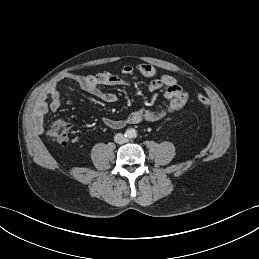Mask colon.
Wrapping results in <instances>:
<instances>
[{
    "label": "colon",
    "instance_id": "1",
    "mask_svg": "<svg viewBox=\"0 0 259 259\" xmlns=\"http://www.w3.org/2000/svg\"><path fill=\"white\" fill-rule=\"evenodd\" d=\"M198 102L203 108H208L209 101L205 96H198ZM72 125L65 121H56L47 128V134L57 142L67 145L71 141Z\"/></svg>",
    "mask_w": 259,
    "mask_h": 259
}]
</instances>
